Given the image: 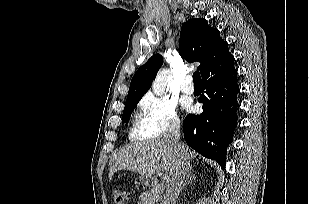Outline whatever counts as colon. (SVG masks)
Masks as SVG:
<instances>
[{"instance_id": "colon-1", "label": "colon", "mask_w": 309, "mask_h": 204, "mask_svg": "<svg viewBox=\"0 0 309 204\" xmlns=\"http://www.w3.org/2000/svg\"><path fill=\"white\" fill-rule=\"evenodd\" d=\"M112 196L115 204H127L129 200V192L126 190L115 189Z\"/></svg>"}]
</instances>
